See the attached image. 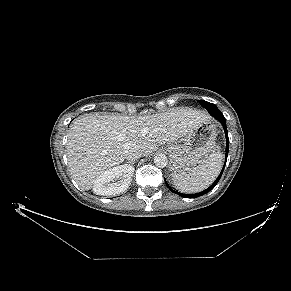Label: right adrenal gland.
Wrapping results in <instances>:
<instances>
[{
  "label": "right adrenal gland",
  "mask_w": 291,
  "mask_h": 291,
  "mask_svg": "<svg viewBox=\"0 0 291 291\" xmlns=\"http://www.w3.org/2000/svg\"><path fill=\"white\" fill-rule=\"evenodd\" d=\"M128 163H130V164H134V162H128Z\"/></svg>",
  "instance_id": "right-adrenal-gland-1"
}]
</instances>
